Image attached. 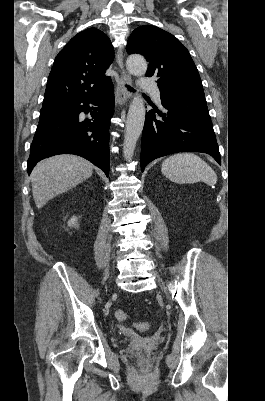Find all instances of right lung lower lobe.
<instances>
[{"mask_svg":"<svg viewBox=\"0 0 265 401\" xmlns=\"http://www.w3.org/2000/svg\"><path fill=\"white\" fill-rule=\"evenodd\" d=\"M89 103L97 106L93 110ZM91 111L83 120L81 112ZM114 112L113 84L101 92L71 102L68 107L40 112L39 124L30 147L28 174L40 160L57 154L82 156L109 173V125Z\"/></svg>","mask_w":265,"mask_h":401,"instance_id":"obj_1","label":"right lung lower lobe"}]
</instances>
